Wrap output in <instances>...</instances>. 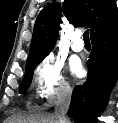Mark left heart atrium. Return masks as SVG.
<instances>
[{
  "instance_id": "39dd6f15",
  "label": "left heart atrium",
  "mask_w": 118,
  "mask_h": 123,
  "mask_svg": "<svg viewBox=\"0 0 118 123\" xmlns=\"http://www.w3.org/2000/svg\"><path fill=\"white\" fill-rule=\"evenodd\" d=\"M71 68V72L75 75V76H80L83 72L82 70V66L79 62H73L70 66Z\"/></svg>"
}]
</instances>
